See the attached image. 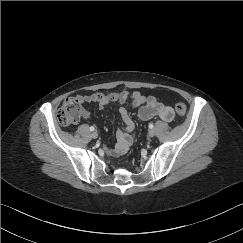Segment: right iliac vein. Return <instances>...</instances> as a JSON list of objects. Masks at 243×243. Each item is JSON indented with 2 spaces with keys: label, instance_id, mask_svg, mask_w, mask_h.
Segmentation results:
<instances>
[{
  "label": "right iliac vein",
  "instance_id": "right-iliac-vein-1",
  "mask_svg": "<svg viewBox=\"0 0 243 243\" xmlns=\"http://www.w3.org/2000/svg\"><path fill=\"white\" fill-rule=\"evenodd\" d=\"M92 138L96 139L98 137V133L96 131L92 132Z\"/></svg>",
  "mask_w": 243,
  "mask_h": 243
}]
</instances>
